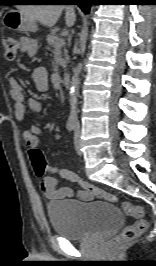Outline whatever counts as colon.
Wrapping results in <instances>:
<instances>
[{"mask_svg":"<svg viewBox=\"0 0 156 266\" xmlns=\"http://www.w3.org/2000/svg\"><path fill=\"white\" fill-rule=\"evenodd\" d=\"M2 46L6 59L13 60L18 52V44L15 38L9 35L3 37ZM29 155L33 169L37 176H44L46 174L58 175L65 180L76 183L85 192L89 193L93 197H97L113 203H120L124 213L136 219L133 224L125 227L118 236L110 241V249H114L122 243L136 239L146 230L147 221L144 219L145 212L142 206L132 204L128 201H120L116 195L94 184L89 183L71 170L50 166L47 163L43 152L37 147L31 148L29 150Z\"/></svg>","mask_w":156,"mask_h":266,"instance_id":"1","label":"colon"}]
</instances>
